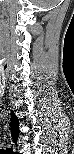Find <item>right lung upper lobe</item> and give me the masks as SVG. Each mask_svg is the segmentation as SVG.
Wrapping results in <instances>:
<instances>
[{
    "label": "right lung upper lobe",
    "mask_w": 74,
    "mask_h": 154,
    "mask_svg": "<svg viewBox=\"0 0 74 154\" xmlns=\"http://www.w3.org/2000/svg\"><path fill=\"white\" fill-rule=\"evenodd\" d=\"M12 113V117H11V129L14 131L15 136L17 135L16 133L18 132V126H19V122H18V118L16 117V115Z\"/></svg>",
    "instance_id": "obj_1"
}]
</instances>
